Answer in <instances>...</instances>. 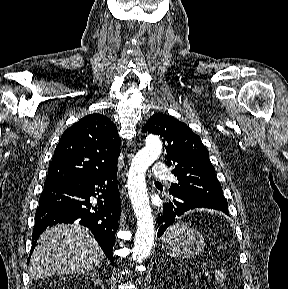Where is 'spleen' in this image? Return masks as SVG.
Listing matches in <instances>:
<instances>
[{
  "mask_svg": "<svg viewBox=\"0 0 288 289\" xmlns=\"http://www.w3.org/2000/svg\"><path fill=\"white\" fill-rule=\"evenodd\" d=\"M187 228H189V224L176 223L175 225L170 227V229L164 235V238L169 237L171 235H174V234H176L182 230H185Z\"/></svg>",
  "mask_w": 288,
  "mask_h": 289,
  "instance_id": "obj_1",
  "label": "spleen"
}]
</instances>
